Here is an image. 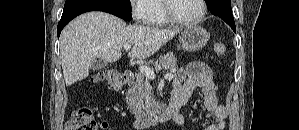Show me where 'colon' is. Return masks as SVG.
<instances>
[{
	"label": "colon",
	"mask_w": 299,
	"mask_h": 130,
	"mask_svg": "<svg viewBox=\"0 0 299 130\" xmlns=\"http://www.w3.org/2000/svg\"><path fill=\"white\" fill-rule=\"evenodd\" d=\"M213 51L217 56H223L226 53V47L222 43H214ZM124 81V75L116 70L102 71L91 78V82H105L113 89L121 88ZM66 128L67 130H98L101 127L92 117L91 109L87 106H81L74 110Z\"/></svg>",
	"instance_id": "colon-1"
}]
</instances>
